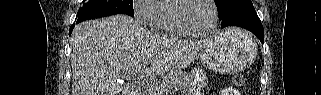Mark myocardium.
Wrapping results in <instances>:
<instances>
[{
	"mask_svg": "<svg viewBox=\"0 0 321 95\" xmlns=\"http://www.w3.org/2000/svg\"><path fill=\"white\" fill-rule=\"evenodd\" d=\"M172 4L170 5L169 9H168V16H167V20L168 23L170 25V27L177 33L183 34V35H187V36H206L211 34L217 27L218 25V8L216 5V2L214 0H207L210 5L212 6V10H213V21L211 26L204 31H198V30H194L184 24H182V22L179 20L178 18V12L181 8V6L188 2V1H192V0H172Z\"/></svg>",
	"mask_w": 321,
	"mask_h": 95,
	"instance_id": "myocardium-1",
	"label": "myocardium"
}]
</instances>
